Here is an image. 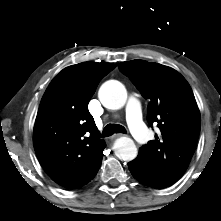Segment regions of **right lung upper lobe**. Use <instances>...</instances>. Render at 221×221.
I'll return each instance as SVG.
<instances>
[{
  "label": "right lung upper lobe",
  "instance_id": "cb5924a9",
  "mask_svg": "<svg viewBox=\"0 0 221 221\" xmlns=\"http://www.w3.org/2000/svg\"><path fill=\"white\" fill-rule=\"evenodd\" d=\"M110 63L84 62L63 69L49 84L35 120L33 142L49 177L68 189L87 184L101 165L100 138L88 103Z\"/></svg>",
  "mask_w": 221,
  "mask_h": 221
}]
</instances>
